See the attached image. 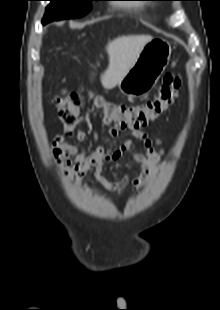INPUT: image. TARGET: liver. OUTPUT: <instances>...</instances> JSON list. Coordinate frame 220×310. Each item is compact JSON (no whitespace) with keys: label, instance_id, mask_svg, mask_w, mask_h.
<instances>
[{"label":"liver","instance_id":"6515ba94","mask_svg":"<svg viewBox=\"0 0 220 310\" xmlns=\"http://www.w3.org/2000/svg\"><path fill=\"white\" fill-rule=\"evenodd\" d=\"M152 38L150 35H129L115 38L107 44L109 65L101 75L105 89H112L121 81Z\"/></svg>","mask_w":220,"mask_h":310}]
</instances>
